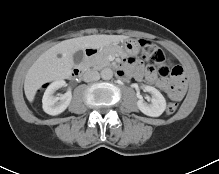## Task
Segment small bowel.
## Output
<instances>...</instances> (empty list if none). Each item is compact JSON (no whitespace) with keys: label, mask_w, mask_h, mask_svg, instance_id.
<instances>
[{"label":"small bowel","mask_w":219,"mask_h":174,"mask_svg":"<svg viewBox=\"0 0 219 174\" xmlns=\"http://www.w3.org/2000/svg\"><path fill=\"white\" fill-rule=\"evenodd\" d=\"M118 74L121 76L134 74L135 77L141 78L143 71L140 66L136 65L133 58H128L119 68ZM146 79L150 83L158 84L159 86L163 87V94L175 101H179L183 97L186 90V82L184 77L181 79L172 77L170 80H161L157 78L153 71H148L146 73Z\"/></svg>","instance_id":"1"}]
</instances>
